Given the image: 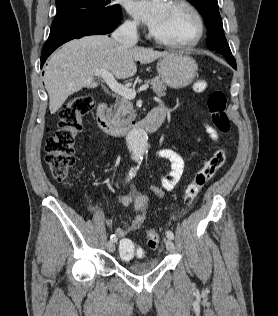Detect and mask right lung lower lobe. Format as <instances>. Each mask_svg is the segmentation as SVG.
<instances>
[{
  "instance_id": "98d812e1",
  "label": "right lung lower lobe",
  "mask_w": 278,
  "mask_h": 316,
  "mask_svg": "<svg viewBox=\"0 0 278 316\" xmlns=\"http://www.w3.org/2000/svg\"><path fill=\"white\" fill-rule=\"evenodd\" d=\"M121 20V9L111 15L82 17L51 26L49 37L41 53V67L48 56L65 42L88 35L112 32Z\"/></svg>"
}]
</instances>
